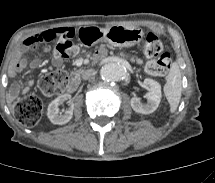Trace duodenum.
Instances as JSON below:
<instances>
[{"instance_id":"obj_1","label":"duodenum","mask_w":215,"mask_h":183,"mask_svg":"<svg viewBox=\"0 0 215 183\" xmlns=\"http://www.w3.org/2000/svg\"><path fill=\"white\" fill-rule=\"evenodd\" d=\"M78 80L77 79H72L70 82H69V84H68V86H67V88H66V91L68 92V93H71V92H74L76 89H77V87H78Z\"/></svg>"}]
</instances>
